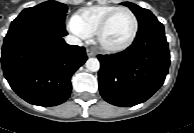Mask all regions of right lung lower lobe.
Here are the masks:
<instances>
[{
    "mask_svg": "<svg viewBox=\"0 0 194 133\" xmlns=\"http://www.w3.org/2000/svg\"><path fill=\"white\" fill-rule=\"evenodd\" d=\"M65 25L24 24L9 29L1 65L14 92L26 102L52 107L70 96L71 77L87 60L84 47L67 44Z\"/></svg>",
    "mask_w": 194,
    "mask_h": 133,
    "instance_id": "obj_1",
    "label": "right lung lower lobe"
}]
</instances>
